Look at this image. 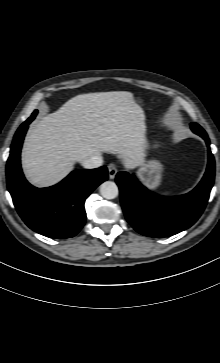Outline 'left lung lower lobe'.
I'll return each instance as SVG.
<instances>
[{
  "label": "left lung lower lobe",
  "instance_id": "1",
  "mask_svg": "<svg viewBox=\"0 0 220 363\" xmlns=\"http://www.w3.org/2000/svg\"><path fill=\"white\" fill-rule=\"evenodd\" d=\"M199 136L208 147V166L199 185L186 195H156L127 172L117 174L123 211L127 221L139 233L148 237L171 236L192 226L202 214L214 183L215 161L207 134Z\"/></svg>",
  "mask_w": 220,
  "mask_h": 363
}]
</instances>
